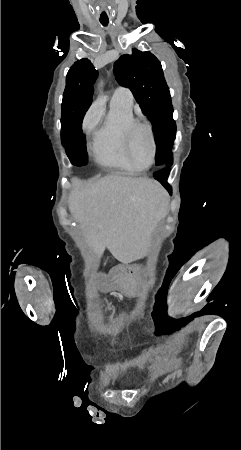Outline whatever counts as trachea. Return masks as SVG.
I'll list each match as a JSON object with an SVG mask.
<instances>
[{
    "instance_id": "1",
    "label": "trachea",
    "mask_w": 241,
    "mask_h": 450,
    "mask_svg": "<svg viewBox=\"0 0 241 450\" xmlns=\"http://www.w3.org/2000/svg\"><path fill=\"white\" fill-rule=\"evenodd\" d=\"M102 25H104V27H106L108 25V22H101Z\"/></svg>"
}]
</instances>
